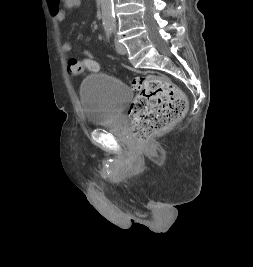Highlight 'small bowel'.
<instances>
[{
    "label": "small bowel",
    "instance_id": "1",
    "mask_svg": "<svg viewBox=\"0 0 253 267\" xmlns=\"http://www.w3.org/2000/svg\"><path fill=\"white\" fill-rule=\"evenodd\" d=\"M81 4L82 0H47L49 11L60 25L64 22L67 11L78 8ZM61 48L63 52L69 53L72 50V45L64 41Z\"/></svg>",
    "mask_w": 253,
    "mask_h": 267
}]
</instances>
